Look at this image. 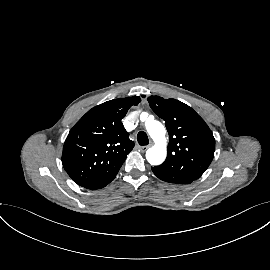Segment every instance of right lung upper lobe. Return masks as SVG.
<instances>
[{
    "label": "right lung upper lobe",
    "instance_id": "cb5924a9",
    "mask_svg": "<svg viewBox=\"0 0 270 270\" xmlns=\"http://www.w3.org/2000/svg\"><path fill=\"white\" fill-rule=\"evenodd\" d=\"M139 96L114 99L89 110L70 130L62 153L68 175L82 187L114 178L134 147L121 120Z\"/></svg>",
    "mask_w": 270,
    "mask_h": 270
}]
</instances>
